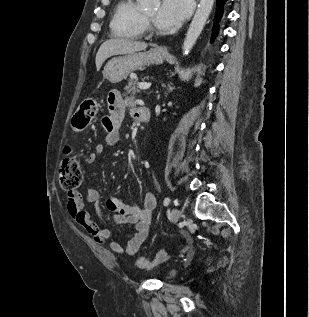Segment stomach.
I'll return each mask as SVG.
<instances>
[{
    "label": "stomach",
    "instance_id": "0dacf381",
    "mask_svg": "<svg viewBox=\"0 0 309 317\" xmlns=\"http://www.w3.org/2000/svg\"><path fill=\"white\" fill-rule=\"evenodd\" d=\"M166 58L159 47L149 51L128 53L124 56L113 57L104 67L103 76L111 83H119L136 70H141L150 64H162Z\"/></svg>",
    "mask_w": 309,
    "mask_h": 317
}]
</instances>
